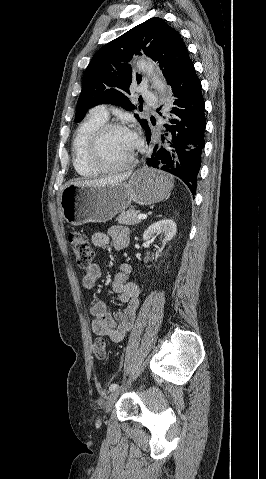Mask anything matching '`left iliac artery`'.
I'll list each match as a JSON object with an SVG mask.
<instances>
[{"label":"left iliac artery","instance_id":"left-iliac-artery-1","mask_svg":"<svg viewBox=\"0 0 266 479\" xmlns=\"http://www.w3.org/2000/svg\"><path fill=\"white\" fill-rule=\"evenodd\" d=\"M118 388H119V385L116 384V383H113V384L110 385L109 390H110V391H114V390H116V389H118Z\"/></svg>","mask_w":266,"mask_h":479}]
</instances>
